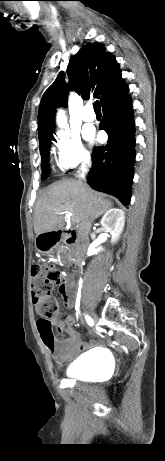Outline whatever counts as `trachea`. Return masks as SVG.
I'll return each mask as SVG.
<instances>
[{
  "instance_id": "obj_1",
  "label": "trachea",
  "mask_w": 165,
  "mask_h": 461,
  "mask_svg": "<svg viewBox=\"0 0 165 461\" xmlns=\"http://www.w3.org/2000/svg\"><path fill=\"white\" fill-rule=\"evenodd\" d=\"M93 107L95 112H101L100 103L98 100L93 103Z\"/></svg>"
}]
</instances>
